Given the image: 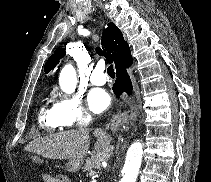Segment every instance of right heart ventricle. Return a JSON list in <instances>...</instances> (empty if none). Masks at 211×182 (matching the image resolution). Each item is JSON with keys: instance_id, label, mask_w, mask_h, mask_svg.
<instances>
[{"instance_id": "obj_1", "label": "right heart ventricle", "mask_w": 211, "mask_h": 182, "mask_svg": "<svg viewBox=\"0 0 211 182\" xmlns=\"http://www.w3.org/2000/svg\"><path fill=\"white\" fill-rule=\"evenodd\" d=\"M38 122L40 126L48 132H54L64 127V125L57 118L53 107L48 108L46 105L42 106L39 111Z\"/></svg>"}]
</instances>
